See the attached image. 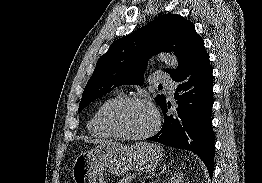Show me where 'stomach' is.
Wrapping results in <instances>:
<instances>
[{
  "label": "stomach",
  "instance_id": "obj_1",
  "mask_svg": "<svg viewBox=\"0 0 262 183\" xmlns=\"http://www.w3.org/2000/svg\"><path fill=\"white\" fill-rule=\"evenodd\" d=\"M163 157V149L154 143L136 142L126 146L105 141L77 156L72 167L75 183H106L103 172L121 175L127 170L153 171Z\"/></svg>",
  "mask_w": 262,
  "mask_h": 183
}]
</instances>
